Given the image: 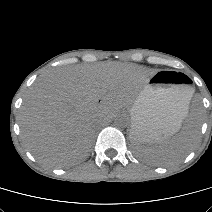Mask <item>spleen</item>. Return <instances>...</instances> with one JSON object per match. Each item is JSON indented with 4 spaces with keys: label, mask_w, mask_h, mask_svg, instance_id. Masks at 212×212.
Instances as JSON below:
<instances>
[{
    "label": "spleen",
    "mask_w": 212,
    "mask_h": 212,
    "mask_svg": "<svg viewBox=\"0 0 212 212\" xmlns=\"http://www.w3.org/2000/svg\"><path fill=\"white\" fill-rule=\"evenodd\" d=\"M187 96V105L184 108V118L188 114V106L193 95ZM199 134V124L195 128L186 125L183 130L170 140L159 143L158 145H135V153L143 160L154 165H172L180 162L191 150L194 141Z\"/></svg>",
    "instance_id": "obj_1"
}]
</instances>
